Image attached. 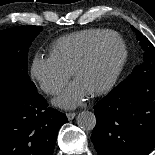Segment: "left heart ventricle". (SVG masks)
<instances>
[{"label":"left heart ventricle","instance_id":"1","mask_svg":"<svg viewBox=\"0 0 155 155\" xmlns=\"http://www.w3.org/2000/svg\"><path fill=\"white\" fill-rule=\"evenodd\" d=\"M123 56V47L119 41L107 44L97 58L83 70L77 78L90 93L105 85L113 76Z\"/></svg>","mask_w":155,"mask_h":155}]
</instances>
